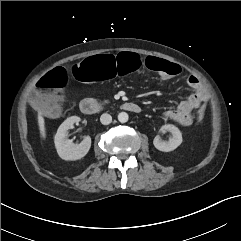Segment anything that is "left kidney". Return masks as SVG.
Here are the masks:
<instances>
[{
	"label": "left kidney",
	"instance_id": "5707ae66",
	"mask_svg": "<svg viewBox=\"0 0 241 241\" xmlns=\"http://www.w3.org/2000/svg\"><path fill=\"white\" fill-rule=\"evenodd\" d=\"M160 131L162 133H165L167 131L170 132L172 134V138H170L169 141H163L161 140L160 136L157 135L153 140V144L156 149L163 152H170L175 150L179 145H181L182 133L176 126L172 124H166L160 128Z\"/></svg>",
	"mask_w": 241,
	"mask_h": 241
}]
</instances>
